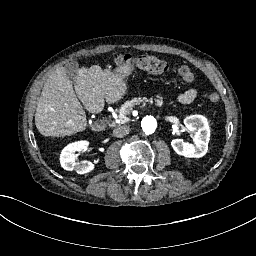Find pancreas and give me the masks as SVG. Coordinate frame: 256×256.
I'll return each mask as SVG.
<instances>
[{
  "label": "pancreas",
  "mask_w": 256,
  "mask_h": 256,
  "mask_svg": "<svg viewBox=\"0 0 256 256\" xmlns=\"http://www.w3.org/2000/svg\"><path fill=\"white\" fill-rule=\"evenodd\" d=\"M146 105L148 104H153L155 103L158 107H163V100L162 99H155V100H150V99H138V100H133L132 102H130L128 105L124 106V114L125 115H129L131 114V112L133 111V107L135 105H140V104ZM122 123L127 122L126 118H122L121 119Z\"/></svg>",
  "instance_id": "pancreas-1"
}]
</instances>
